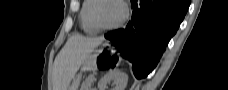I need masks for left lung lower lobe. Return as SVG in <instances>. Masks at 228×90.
Masks as SVG:
<instances>
[{
    "label": "left lung lower lobe",
    "instance_id": "obj_1",
    "mask_svg": "<svg viewBox=\"0 0 228 90\" xmlns=\"http://www.w3.org/2000/svg\"><path fill=\"white\" fill-rule=\"evenodd\" d=\"M189 5L188 0H131L133 12L127 26L105 38L115 42L121 56L133 64L136 78H145L156 67Z\"/></svg>",
    "mask_w": 228,
    "mask_h": 90
}]
</instances>
